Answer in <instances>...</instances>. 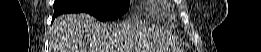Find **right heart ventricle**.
Masks as SVG:
<instances>
[{
  "label": "right heart ventricle",
  "instance_id": "e07e8e85",
  "mask_svg": "<svg viewBox=\"0 0 261 52\" xmlns=\"http://www.w3.org/2000/svg\"><path fill=\"white\" fill-rule=\"evenodd\" d=\"M145 13L149 17L159 18L163 15V10L159 5L153 3L146 8Z\"/></svg>",
  "mask_w": 261,
  "mask_h": 52
}]
</instances>
